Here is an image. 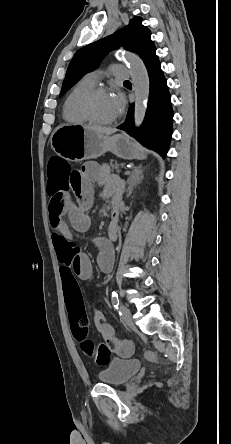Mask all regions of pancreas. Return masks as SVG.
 <instances>
[{
    "instance_id": "cf45deb5",
    "label": "pancreas",
    "mask_w": 231,
    "mask_h": 444,
    "mask_svg": "<svg viewBox=\"0 0 231 444\" xmlns=\"http://www.w3.org/2000/svg\"><path fill=\"white\" fill-rule=\"evenodd\" d=\"M110 167H111L112 169H116V170H118L120 167H123V164H119V163H117L116 161L111 160V161H110Z\"/></svg>"
}]
</instances>
